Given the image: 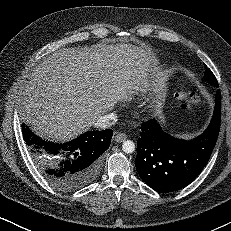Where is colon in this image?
<instances>
[{"label": "colon", "instance_id": "1", "mask_svg": "<svg viewBox=\"0 0 231 231\" xmlns=\"http://www.w3.org/2000/svg\"><path fill=\"white\" fill-rule=\"evenodd\" d=\"M176 98L180 103V107L185 111H191L202 104L201 96L195 92H191L183 85L179 87Z\"/></svg>", "mask_w": 231, "mask_h": 231}]
</instances>
